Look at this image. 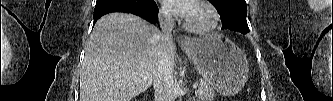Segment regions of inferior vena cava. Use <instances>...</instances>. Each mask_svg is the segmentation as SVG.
<instances>
[{
	"instance_id": "1",
	"label": "inferior vena cava",
	"mask_w": 333,
	"mask_h": 101,
	"mask_svg": "<svg viewBox=\"0 0 333 101\" xmlns=\"http://www.w3.org/2000/svg\"><path fill=\"white\" fill-rule=\"evenodd\" d=\"M159 22L162 30L158 44V63L154 75L155 101H172L173 83V41L171 31L174 20L169 10L159 12Z\"/></svg>"
}]
</instances>
